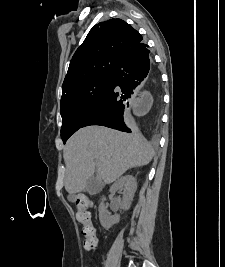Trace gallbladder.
<instances>
[{"instance_id":"1","label":"gallbladder","mask_w":225,"mask_h":267,"mask_svg":"<svg viewBox=\"0 0 225 267\" xmlns=\"http://www.w3.org/2000/svg\"><path fill=\"white\" fill-rule=\"evenodd\" d=\"M102 184L95 177H91L86 182L85 190L90 193H97L101 190ZM75 196L73 194L68 196L69 201H74Z\"/></svg>"}]
</instances>
